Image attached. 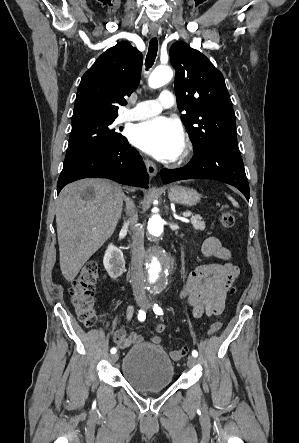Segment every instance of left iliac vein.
<instances>
[{"label":"left iliac vein","instance_id":"left-iliac-vein-1","mask_svg":"<svg viewBox=\"0 0 299 443\" xmlns=\"http://www.w3.org/2000/svg\"><path fill=\"white\" fill-rule=\"evenodd\" d=\"M148 308V306H146ZM197 360L194 356L190 355L187 359V365L191 368L196 364Z\"/></svg>","mask_w":299,"mask_h":443}]
</instances>
